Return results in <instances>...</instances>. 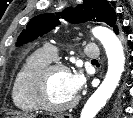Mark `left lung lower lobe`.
I'll list each match as a JSON object with an SVG mask.
<instances>
[{"instance_id": "obj_1", "label": "left lung lower lobe", "mask_w": 133, "mask_h": 118, "mask_svg": "<svg viewBox=\"0 0 133 118\" xmlns=\"http://www.w3.org/2000/svg\"><path fill=\"white\" fill-rule=\"evenodd\" d=\"M114 32L116 33V34H118L119 32H118V27L116 26V27H114Z\"/></svg>"}]
</instances>
